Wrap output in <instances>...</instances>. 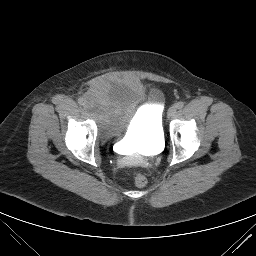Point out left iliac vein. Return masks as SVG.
<instances>
[{"label": "left iliac vein", "instance_id": "1", "mask_svg": "<svg viewBox=\"0 0 256 256\" xmlns=\"http://www.w3.org/2000/svg\"><path fill=\"white\" fill-rule=\"evenodd\" d=\"M176 111H177V107L175 105L171 106L169 109H168V112H167V115L168 117H173L175 114H176Z\"/></svg>", "mask_w": 256, "mask_h": 256}]
</instances>
